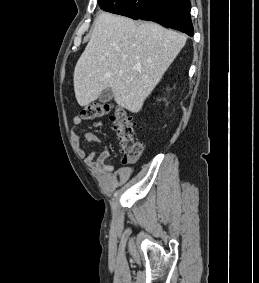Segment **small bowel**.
Returning <instances> with one entry per match:
<instances>
[{
  "mask_svg": "<svg viewBox=\"0 0 259 283\" xmlns=\"http://www.w3.org/2000/svg\"><path fill=\"white\" fill-rule=\"evenodd\" d=\"M82 124V118L75 116L72 120V125L74 128L79 127ZM74 140H79V135L75 133L73 135ZM84 138L88 143L91 144H101L102 141L100 138L93 132L87 131L84 133ZM109 157V149L106 146H103L99 151H92L85 157V162L92 168L101 171L104 174H110L113 170V166L106 162ZM124 172L120 171L118 176H123Z\"/></svg>",
  "mask_w": 259,
  "mask_h": 283,
  "instance_id": "obj_1",
  "label": "small bowel"
}]
</instances>
